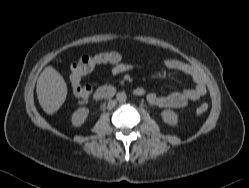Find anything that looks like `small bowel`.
<instances>
[{
    "label": "small bowel",
    "mask_w": 249,
    "mask_h": 188,
    "mask_svg": "<svg viewBox=\"0 0 249 188\" xmlns=\"http://www.w3.org/2000/svg\"><path fill=\"white\" fill-rule=\"evenodd\" d=\"M112 64V73L115 75L123 73L129 68V66L121 60ZM164 65L169 70L177 71L189 76L194 82V87L185 89L181 92H173L165 96L158 95L146 88H137L136 90L141 91L138 96H145L150 105L159 108L180 109L186 107L189 102L198 101L206 95L207 88L204 79L193 66L178 59H167L164 61ZM136 90L135 94L137 95Z\"/></svg>",
    "instance_id": "1"
}]
</instances>
